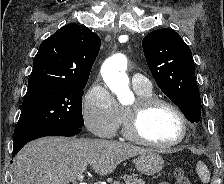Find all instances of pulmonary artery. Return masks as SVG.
<instances>
[{"label":"pulmonary artery","mask_w":224,"mask_h":184,"mask_svg":"<svg viewBox=\"0 0 224 184\" xmlns=\"http://www.w3.org/2000/svg\"><path fill=\"white\" fill-rule=\"evenodd\" d=\"M132 84L135 89L139 90H150L151 83L148 78L140 73H135L131 77Z\"/></svg>","instance_id":"obj_1"}]
</instances>
